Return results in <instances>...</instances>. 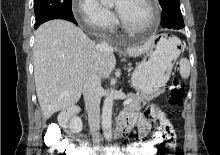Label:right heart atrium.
<instances>
[{
	"label": "right heart atrium",
	"instance_id": "obj_1",
	"mask_svg": "<svg viewBox=\"0 0 220 155\" xmlns=\"http://www.w3.org/2000/svg\"><path fill=\"white\" fill-rule=\"evenodd\" d=\"M73 14L86 30L99 34L110 32L116 24L113 12L98 0H76Z\"/></svg>",
	"mask_w": 220,
	"mask_h": 155
}]
</instances>
